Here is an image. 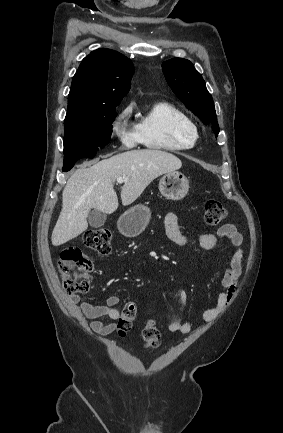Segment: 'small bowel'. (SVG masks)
Here are the masks:
<instances>
[{"mask_svg": "<svg viewBox=\"0 0 283 433\" xmlns=\"http://www.w3.org/2000/svg\"><path fill=\"white\" fill-rule=\"evenodd\" d=\"M164 224L169 240L178 246H185L195 241L202 249L212 250L217 246L219 239H226L235 248L221 282L224 290L219 294L216 306L203 312L204 321H214L231 303L241 275V263L244 254L241 234L234 225L225 224L218 230L217 234L197 232L187 235L181 232L177 216L174 213L166 214ZM181 299H186L185 292L181 293ZM119 303L120 298L117 295L109 296L105 305H94L87 301H81L80 296L77 294L71 295L68 300L71 311L77 316H83L91 320V329L103 336L111 334L116 325L113 322L106 323L102 318L118 319L120 311L117 309V305ZM191 328V322L182 319H175L168 325L170 332L183 334L190 332Z\"/></svg>", "mask_w": 283, "mask_h": 433, "instance_id": "obj_1", "label": "small bowel"}]
</instances>
